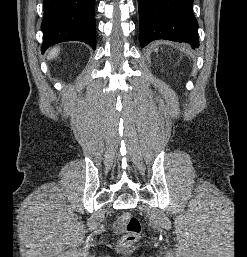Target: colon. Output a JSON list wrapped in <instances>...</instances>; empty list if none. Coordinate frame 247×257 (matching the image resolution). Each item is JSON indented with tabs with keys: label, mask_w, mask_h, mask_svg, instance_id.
<instances>
[{
	"label": "colon",
	"mask_w": 247,
	"mask_h": 257,
	"mask_svg": "<svg viewBox=\"0 0 247 257\" xmlns=\"http://www.w3.org/2000/svg\"><path fill=\"white\" fill-rule=\"evenodd\" d=\"M120 221L125 229V233L118 240V246L126 249L137 242L142 231V225L140 220L129 212L123 213Z\"/></svg>",
	"instance_id": "1"
}]
</instances>
